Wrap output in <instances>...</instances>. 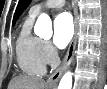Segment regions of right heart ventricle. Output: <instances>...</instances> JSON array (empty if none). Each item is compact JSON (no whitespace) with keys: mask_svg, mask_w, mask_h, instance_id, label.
Here are the masks:
<instances>
[{"mask_svg":"<svg viewBox=\"0 0 107 89\" xmlns=\"http://www.w3.org/2000/svg\"><path fill=\"white\" fill-rule=\"evenodd\" d=\"M34 17L24 20L16 40V60L20 70L30 76H42L46 62L42 54V40L31 31Z\"/></svg>","mask_w":107,"mask_h":89,"instance_id":"obj_1","label":"right heart ventricle"}]
</instances>
